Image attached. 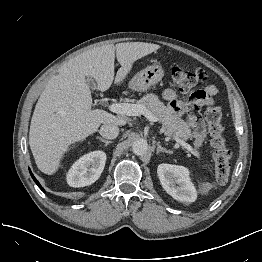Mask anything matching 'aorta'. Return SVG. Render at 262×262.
<instances>
[{
	"label": "aorta",
	"mask_w": 262,
	"mask_h": 262,
	"mask_svg": "<svg viewBox=\"0 0 262 262\" xmlns=\"http://www.w3.org/2000/svg\"><path fill=\"white\" fill-rule=\"evenodd\" d=\"M132 151L135 155L142 156L148 151L147 141L144 139H139L133 142Z\"/></svg>",
	"instance_id": "762f6f07"
}]
</instances>
